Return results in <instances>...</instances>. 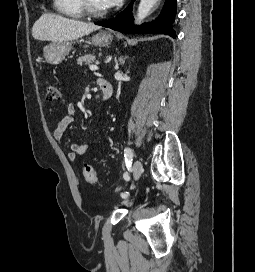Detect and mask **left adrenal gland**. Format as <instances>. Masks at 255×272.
<instances>
[{"instance_id":"obj_1","label":"left adrenal gland","mask_w":255,"mask_h":272,"mask_svg":"<svg viewBox=\"0 0 255 272\" xmlns=\"http://www.w3.org/2000/svg\"><path fill=\"white\" fill-rule=\"evenodd\" d=\"M116 67L118 68V63L116 62Z\"/></svg>"}]
</instances>
